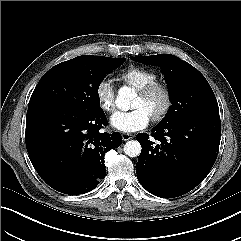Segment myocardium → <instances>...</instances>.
I'll list each match as a JSON object with an SVG mask.
<instances>
[{"label":"myocardium","mask_w":241,"mask_h":241,"mask_svg":"<svg viewBox=\"0 0 241 241\" xmlns=\"http://www.w3.org/2000/svg\"><path fill=\"white\" fill-rule=\"evenodd\" d=\"M137 93L142 98H148L155 93H160L163 97L162 107L151 115V119L154 122H159L167 116L172 107V92L167 84L155 81L138 89Z\"/></svg>","instance_id":"f54148a6"}]
</instances>
